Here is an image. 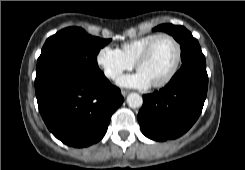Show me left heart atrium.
<instances>
[{
	"mask_svg": "<svg viewBox=\"0 0 245 170\" xmlns=\"http://www.w3.org/2000/svg\"><path fill=\"white\" fill-rule=\"evenodd\" d=\"M118 83L125 87H138V88H144L150 85V81L140 71H138L133 75H127L121 77L118 80Z\"/></svg>",
	"mask_w": 245,
	"mask_h": 170,
	"instance_id": "obj_1",
	"label": "left heart atrium"
}]
</instances>
